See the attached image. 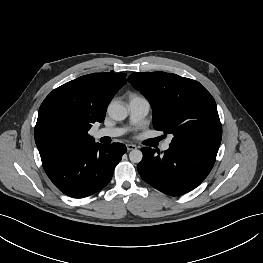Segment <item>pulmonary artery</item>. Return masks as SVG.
<instances>
[{"instance_id":"obj_1","label":"pulmonary artery","mask_w":263,"mask_h":263,"mask_svg":"<svg viewBox=\"0 0 263 263\" xmlns=\"http://www.w3.org/2000/svg\"><path fill=\"white\" fill-rule=\"evenodd\" d=\"M150 109L149 101L143 96H131L129 99L130 124L136 125L141 123L147 116ZM126 128L108 127L100 128L94 131V137L99 139L102 137H117L126 132ZM171 138L167 139L163 145V150H168Z\"/></svg>"}]
</instances>
